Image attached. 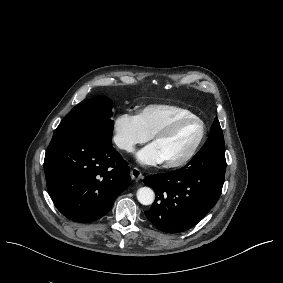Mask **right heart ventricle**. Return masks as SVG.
Segmentation results:
<instances>
[{"label": "right heart ventricle", "instance_id": "obj_1", "mask_svg": "<svg viewBox=\"0 0 283 283\" xmlns=\"http://www.w3.org/2000/svg\"><path fill=\"white\" fill-rule=\"evenodd\" d=\"M189 110L167 104H153L145 107L140 114L143 125L150 135H155L165 129L176 118L190 115Z\"/></svg>", "mask_w": 283, "mask_h": 283}]
</instances>
